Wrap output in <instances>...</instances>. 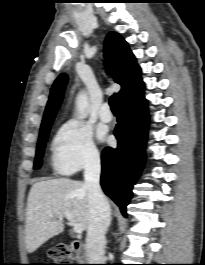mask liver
Here are the masks:
<instances>
[{"instance_id":"6515ba94","label":"liver","mask_w":205,"mask_h":265,"mask_svg":"<svg viewBox=\"0 0 205 265\" xmlns=\"http://www.w3.org/2000/svg\"><path fill=\"white\" fill-rule=\"evenodd\" d=\"M69 212L83 229L89 226L90 209L85 183L67 178L32 185L26 208L25 245L29 253L64 230L62 213Z\"/></svg>"}]
</instances>
